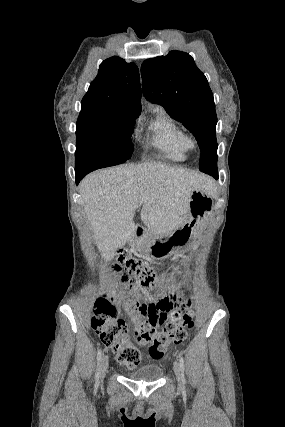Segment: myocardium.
Instances as JSON below:
<instances>
[{"mask_svg": "<svg viewBox=\"0 0 285 427\" xmlns=\"http://www.w3.org/2000/svg\"><path fill=\"white\" fill-rule=\"evenodd\" d=\"M186 142L190 148H193L196 145V141L192 136H186Z\"/></svg>", "mask_w": 285, "mask_h": 427, "instance_id": "1", "label": "myocardium"}]
</instances>
